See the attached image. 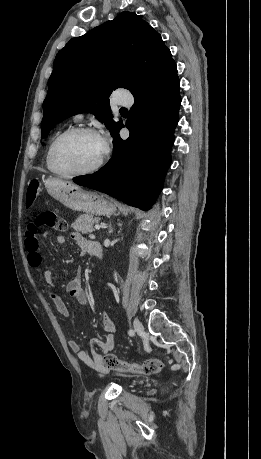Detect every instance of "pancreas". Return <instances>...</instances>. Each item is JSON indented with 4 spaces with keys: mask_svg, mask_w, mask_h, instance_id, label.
Listing matches in <instances>:
<instances>
[{
    "mask_svg": "<svg viewBox=\"0 0 261 459\" xmlns=\"http://www.w3.org/2000/svg\"><path fill=\"white\" fill-rule=\"evenodd\" d=\"M97 222H99V218H96L91 214H82L71 224V227L75 231L86 234L93 231L92 226Z\"/></svg>",
    "mask_w": 261,
    "mask_h": 459,
    "instance_id": "1",
    "label": "pancreas"
}]
</instances>
